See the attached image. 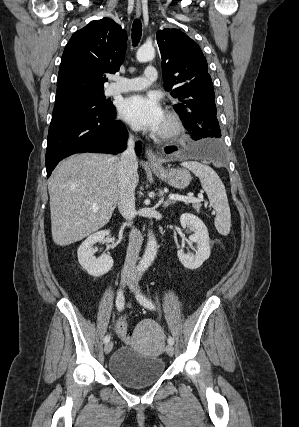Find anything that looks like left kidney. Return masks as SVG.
Masks as SVG:
<instances>
[{
	"mask_svg": "<svg viewBox=\"0 0 299 427\" xmlns=\"http://www.w3.org/2000/svg\"><path fill=\"white\" fill-rule=\"evenodd\" d=\"M180 223L183 228L191 229L194 234L190 236V242L197 244L195 254H186L183 249L178 250L177 255L180 262L187 269L199 268L210 256V241L207 227L197 216L184 213L180 217Z\"/></svg>",
	"mask_w": 299,
	"mask_h": 427,
	"instance_id": "left-kidney-1",
	"label": "left kidney"
}]
</instances>
